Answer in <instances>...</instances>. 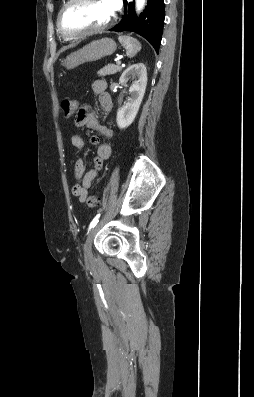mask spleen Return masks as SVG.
Instances as JSON below:
<instances>
[{"mask_svg":"<svg viewBox=\"0 0 254 397\" xmlns=\"http://www.w3.org/2000/svg\"><path fill=\"white\" fill-rule=\"evenodd\" d=\"M118 40L125 48L127 56L130 58L134 57L141 50L140 42L133 37L120 35Z\"/></svg>","mask_w":254,"mask_h":397,"instance_id":"1","label":"spleen"}]
</instances>
